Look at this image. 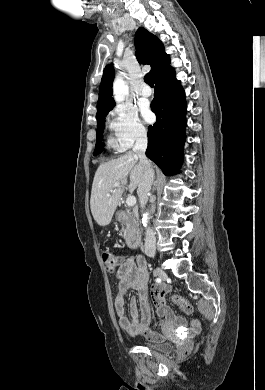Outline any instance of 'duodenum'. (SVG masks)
<instances>
[{
    "mask_svg": "<svg viewBox=\"0 0 265 390\" xmlns=\"http://www.w3.org/2000/svg\"><path fill=\"white\" fill-rule=\"evenodd\" d=\"M116 220L121 223H128L130 222V216L128 213L120 211L116 214ZM126 243L129 249L139 248L141 243L140 235L135 230H131L127 236Z\"/></svg>",
    "mask_w": 265,
    "mask_h": 390,
    "instance_id": "410a0bca",
    "label": "duodenum"
}]
</instances>
